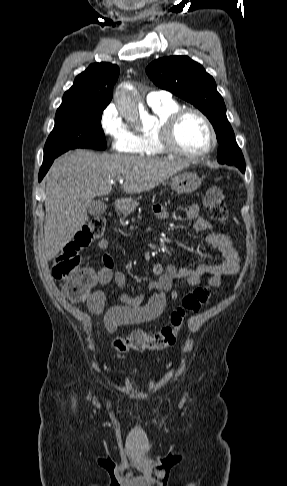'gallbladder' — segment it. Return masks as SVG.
I'll list each match as a JSON object with an SVG mask.
<instances>
[{"mask_svg":"<svg viewBox=\"0 0 287 486\" xmlns=\"http://www.w3.org/2000/svg\"><path fill=\"white\" fill-rule=\"evenodd\" d=\"M106 208L107 206L103 201L93 200L88 207V213L94 216L102 215L106 211Z\"/></svg>","mask_w":287,"mask_h":486,"instance_id":"bac80fb5","label":"gallbladder"}]
</instances>
